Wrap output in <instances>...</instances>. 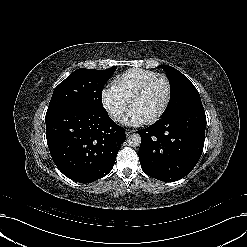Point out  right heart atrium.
Returning a JSON list of instances; mask_svg holds the SVG:
<instances>
[{
	"mask_svg": "<svg viewBox=\"0 0 247 247\" xmlns=\"http://www.w3.org/2000/svg\"><path fill=\"white\" fill-rule=\"evenodd\" d=\"M104 103L107 109L115 118H120L125 111V105L122 100L115 94V92L109 91L104 94Z\"/></svg>",
	"mask_w": 247,
	"mask_h": 247,
	"instance_id": "1",
	"label": "right heart atrium"
}]
</instances>
